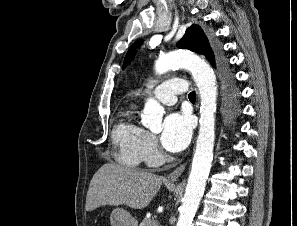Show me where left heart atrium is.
Returning <instances> with one entry per match:
<instances>
[{
	"mask_svg": "<svg viewBox=\"0 0 297 226\" xmlns=\"http://www.w3.org/2000/svg\"><path fill=\"white\" fill-rule=\"evenodd\" d=\"M192 127L187 115L171 113L164 120L161 142L170 152H180L188 145Z\"/></svg>",
	"mask_w": 297,
	"mask_h": 226,
	"instance_id": "1",
	"label": "left heart atrium"
}]
</instances>
